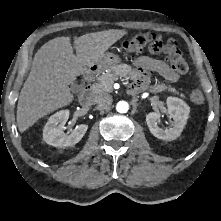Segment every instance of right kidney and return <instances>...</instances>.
<instances>
[{
	"label": "right kidney",
	"instance_id": "right-kidney-1",
	"mask_svg": "<svg viewBox=\"0 0 221 221\" xmlns=\"http://www.w3.org/2000/svg\"><path fill=\"white\" fill-rule=\"evenodd\" d=\"M69 110H61L53 114L43 129L44 141L55 147H68L77 144L85 135L88 125H78L70 135L64 133V125L69 118Z\"/></svg>",
	"mask_w": 221,
	"mask_h": 221
}]
</instances>
